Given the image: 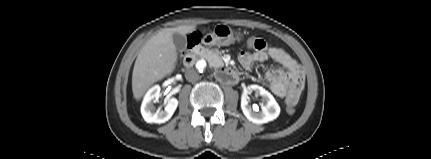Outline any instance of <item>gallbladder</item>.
I'll return each mask as SVG.
<instances>
[{"label": "gallbladder", "mask_w": 431, "mask_h": 159, "mask_svg": "<svg viewBox=\"0 0 431 159\" xmlns=\"http://www.w3.org/2000/svg\"><path fill=\"white\" fill-rule=\"evenodd\" d=\"M173 42L178 51H184L187 47L186 37L179 33L173 34Z\"/></svg>", "instance_id": "obj_1"}]
</instances>
